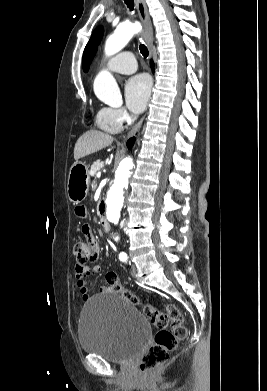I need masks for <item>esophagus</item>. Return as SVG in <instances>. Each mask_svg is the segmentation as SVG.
I'll use <instances>...</instances> for the list:
<instances>
[{"label":"esophagus","instance_id":"1","mask_svg":"<svg viewBox=\"0 0 267 391\" xmlns=\"http://www.w3.org/2000/svg\"><path fill=\"white\" fill-rule=\"evenodd\" d=\"M135 4L138 10L140 21L143 26L144 40L150 49V54H152L153 28L147 5L145 3V0H135ZM142 122L143 119L135 127L132 128V130L128 133L127 138L135 135V133L140 128Z\"/></svg>","mask_w":267,"mask_h":391}]
</instances>
